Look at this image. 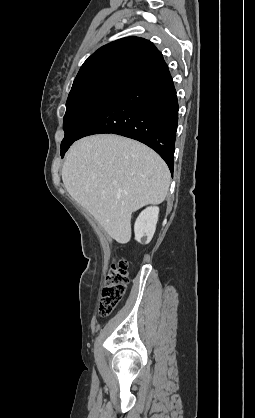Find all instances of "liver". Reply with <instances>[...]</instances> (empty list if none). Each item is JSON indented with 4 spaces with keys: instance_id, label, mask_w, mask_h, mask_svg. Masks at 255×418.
<instances>
[{
    "instance_id": "6515ba94",
    "label": "liver",
    "mask_w": 255,
    "mask_h": 418,
    "mask_svg": "<svg viewBox=\"0 0 255 418\" xmlns=\"http://www.w3.org/2000/svg\"><path fill=\"white\" fill-rule=\"evenodd\" d=\"M67 192L118 243L131 239V215L164 201L170 172L146 145L114 134L76 141L62 168Z\"/></svg>"
}]
</instances>
